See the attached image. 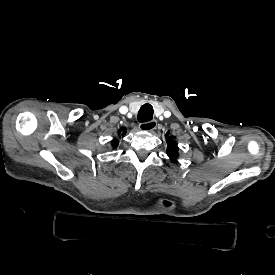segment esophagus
<instances>
[{"label":"esophagus","instance_id":"1","mask_svg":"<svg viewBox=\"0 0 275 275\" xmlns=\"http://www.w3.org/2000/svg\"><path fill=\"white\" fill-rule=\"evenodd\" d=\"M157 127V121L155 119L140 124V129L145 131H152Z\"/></svg>","mask_w":275,"mask_h":275}]
</instances>
